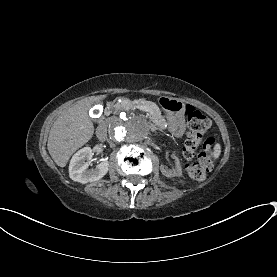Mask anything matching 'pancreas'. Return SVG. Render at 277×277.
<instances>
[{
  "label": "pancreas",
  "mask_w": 277,
  "mask_h": 277,
  "mask_svg": "<svg viewBox=\"0 0 277 277\" xmlns=\"http://www.w3.org/2000/svg\"><path fill=\"white\" fill-rule=\"evenodd\" d=\"M145 112L148 117L152 119V125L155 128H160L163 125V118L160 116V109L157 104L150 103L148 98H139L136 102L126 101L122 98L113 99L108 107L109 115H117L122 112H133V111Z\"/></svg>",
  "instance_id": "cf45deb5"
}]
</instances>
